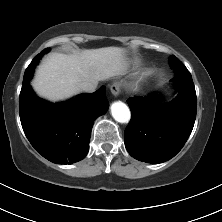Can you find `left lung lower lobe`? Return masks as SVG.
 <instances>
[{
	"label": "left lung lower lobe",
	"instance_id": "obj_1",
	"mask_svg": "<svg viewBox=\"0 0 222 222\" xmlns=\"http://www.w3.org/2000/svg\"><path fill=\"white\" fill-rule=\"evenodd\" d=\"M173 80L179 94L170 104H160L153 97L127 100L132 118L124 132V141L129 154L137 160L162 163L171 159L192 132L197 107L192 76L182 72Z\"/></svg>",
	"mask_w": 222,
	"mask_h": 222
}]
</instances>
